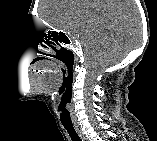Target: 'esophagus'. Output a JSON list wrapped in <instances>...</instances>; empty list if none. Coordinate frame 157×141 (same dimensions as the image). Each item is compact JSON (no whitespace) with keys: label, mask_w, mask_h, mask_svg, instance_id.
I'll return each mask as SVG.
<instances>
[{"label":"esophagus","mask_w":157,"mask_h":141,"mask_svg":"<svg viewBox=\"0 0 157 141\" xmlns=\"http://www.w3.org/2000/svg\"><path fill=\"white\" fill-rule=\"evenodd\" d=\"M75 130L78 133V135L81 138V140L85 141L86 137H85L84 133L81 131V129L78 126H75Z\"/></svg>","instance_id":"esophagus-1"}]
</instances>
